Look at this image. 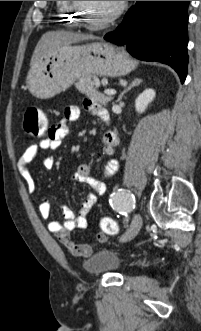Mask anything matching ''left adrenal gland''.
Listing matches in <instances>:
<instances>
[{
	"label": "left adrenal gland",
	"instance_id": "1",
	"mask_svg": "<svg viewBox=\"0 0 201 331\" xmlns=\"http://www.w3.org/2000/svg\"><path fill=\"white\" fill-rule=\"evenodd\" d=\"M142 82V80L141 79H134L133 81H132V83L123 91V92H121V94L119 95V97H118V99H117V101L116 102H119V101H121V99H122V97H123V95L125 94V93H127L128 91H130L132 88H134L135 86H138L140 83Z\"/></svg>",
	"mask_w": 201,
	"mask_h": 331
}]
</instances>
